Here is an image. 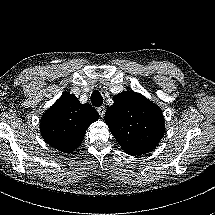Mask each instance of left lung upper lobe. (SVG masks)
Here are the masks:
<instances>
[{
	"mask_svg": "<svg viewBox=\"0 0 215 215\" xmlns=\"http://www.w3.org/2000/svg\"><path fill=\"white\" fill-rule=\"evenodd\" d=\"M105 123L129 155L152 151L164 135L161 109L143 95L124 91L114 97L105 113Z\"/></svg>",
	"mask_w": 215,
	"mask_h": 215,
	"instance_id": "obj_1",
	"label": "left lung upper lobe"
}]
</instances>
